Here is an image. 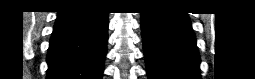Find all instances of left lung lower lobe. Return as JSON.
Segmentation results:
<instances>
[{
	"mask_svg": "<svg viewBox=\"0 0 255 79\" xmlns=\"http://www.w3.org/2000/svg\"><path fill=\"white\" fill-rule=\"evenodd\" d=\"M149 79H200V56L186 13H141Z\"/></svg>",
	"mask_w": 255,
	"mask_h": 79,
	"instance_id": "1",
	"label": "left lung lower lobe"
}]
</instances>
